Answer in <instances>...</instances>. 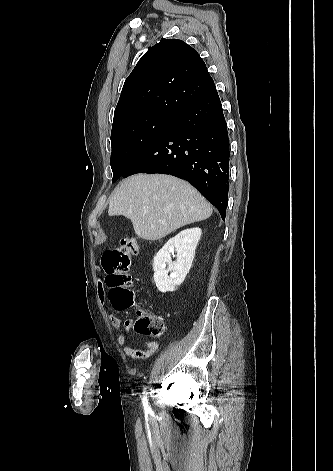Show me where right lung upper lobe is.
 <instances>
[{
  "mask_svg": "<svg viewBox=\"0 0 333 471\" xmlns=\"http://www.w3.org/2000/svg\"><path fill=\"white\" fill-rule=\"evenodd\" d=\"M213 86L195 49L181 40H162L141 57L125 80L113 122L141 112L176 115Z\"/></svg>",
  "mask_w": 333,
  "mask_h": 471,
  "instance_id": "1",
  "label": "right lung upper lobe"
}]
</instances>
